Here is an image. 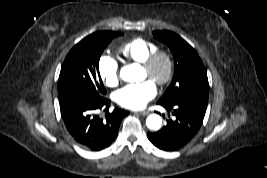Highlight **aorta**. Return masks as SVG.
Returning <instances> with one entry per match:
<instances>
[{
  "label": "aorta",
  "instance_id": "762f6f07",
  "mask_svg": "<svg viewBox=\"0 0 267 178\" xmlns=\"http://www.w3.org/2000/svg\"><path fill=\"white\" fill-rule=\"evenodd\" d=\"M139 67L137 65L124 66L120 71V77L127 82L139 80ZM146 125L150 130H159L162 125V118L157 114H151L146 119Z\"/></svg>",
  "mask_w": 267,
  "mask_h": 178
}]
</instances>
